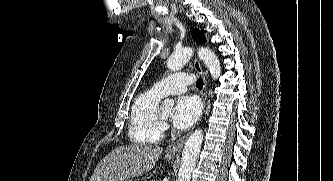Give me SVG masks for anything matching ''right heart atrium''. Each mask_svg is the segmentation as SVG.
<instances>
[{
    "label": "right heart atrium",
    "mask_w": 333,
    "mask_h": 181,
    "mask_svg": "<svg viewBox=\"0 0 333 181\" xmlns=\"http://www.w3.org/2000/svg\"><path fill=\"white\" fill-rule=\"evenodd\" d=\"M167 126L165 124L162 125V129L165 130Z\"/></svg>",
    "instance_id": "obj_1"
}]
</instances>
